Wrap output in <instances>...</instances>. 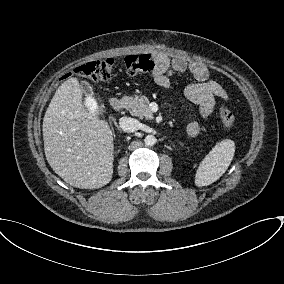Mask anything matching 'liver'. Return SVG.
Masks as SVG:
<instances>
[{"label":"liver","instance_id":"liver-1","mask_svg":"<svg viewBox=\"0 0 284 284\" xmlns=\"http://www.w3.org/2000/svg\"><path fill=\"white\" fill-rule=\"evenodd\" d=\"M77 78L56 90L43 119L46 159L66 183L81 189L108 184L113 174L114 145L110 126L84 107Z\"/></svg>","mask_w":284,"mask_h":284}]
</instances>
